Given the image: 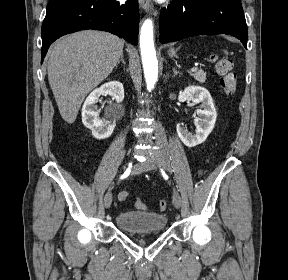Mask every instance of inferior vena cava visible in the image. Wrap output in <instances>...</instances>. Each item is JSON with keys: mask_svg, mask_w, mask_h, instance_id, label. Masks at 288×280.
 <instances>
[{"mask_svg": "<svg viewBox=\"0 0 288 280\" xmlns=\"http://www.w3.org/2000/svg\"><path fill=\"white\" fill-rule=\"evenodd\" d=\"M160 119H155L154 125H152V137H154V143H158L160 150H157L156 156L158 159H169V142H167V136L164 132V125H160Z\"/></svg>", "mask_w": 288, "mask_h": 280, "instance_id": "obj_1", "label": "inferior vena cava"}]
</instances>
